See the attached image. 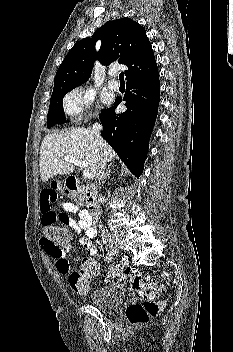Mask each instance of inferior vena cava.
<instances>
[{"mask_svg": "<svg viewBox=\"0 0 233 352\" xmlns=\"http://www.w3.org/2000/svg\"><path fill=\"white\" fill-rule=\"evenodd\" d=\"M101 130H102V125L100 123L96 122L93 124L92 133H93L98 145L101 146V157H100V160L98 163V168H97V173H96V179H97V181H99V183L104 177V170H105L106 163H107L106 152L102 148L103 147V140L100 136ZM101 237H102L103 242L106 245H110L113 243V237L110 234L106 233L105 231L102 232Z\"/></svg>", "mask_w": 233, "mask_h": 352, "instance_id": "602c4592", "label": "inferior vena cava"}]
</instances>
